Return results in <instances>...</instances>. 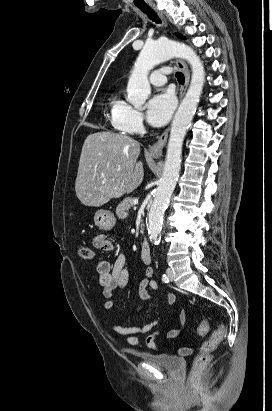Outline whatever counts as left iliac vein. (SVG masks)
I'll use <instances>...</instances> for the list:
<instances>
[{"label":"left iliac vein","mask_w":272,"mask_h":411,"mask_svg":"<svg viewBox=\"0 0 272 411\" xmlns=\"http://www.w3.org/2000/svg\"><path fill=\"white\" fill-rule=\"evenodd\" d=\"M166 272H167L168 278L172 281L174 277L173 270L171 268H168Z\"/></svg>","instance_id":"4c4485c4"}]
</instances>
